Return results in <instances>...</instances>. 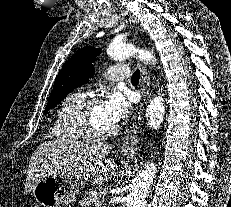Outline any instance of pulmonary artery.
Segmentation results:
<instances>
[{
  "instance_id": "obj_1",
  "label": "pulmonary artery",
  "mask_w": 231,
  "mask_h": 207,
  "mask_svg": "<svg viewBox=\"0 0 231 207\" xmlns=\"http://www.w3.org/2000/svg\"><path fill=\"white\" fill-rule=\"evenodd\" d=\"M105 75L111 81L124 80L129 77L130 69L124 64H113L109 67Z\"/></svg>"
}]
</instances>
